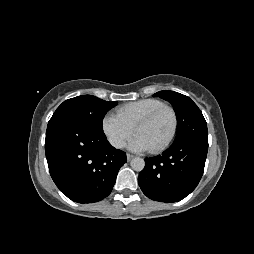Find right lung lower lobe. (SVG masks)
Segmentation results:
<instances>
[{"instance_id": "right-lung-lower-lobe-1", "label": "right lung lower lobe", "mask_w": 254, "mask_h": 254, "mask_svg": "<svg viewBox=\"0 0 254 254\" xmlns=\"http://www.w3.org/2000/svg\"><path fill=\"white\" fill-rule=\"evenodd\" d=\"M45 153L53 181L78 203L108 196L127 161L125 152L115 149L103 130L67 118L48 123Z\"/></svg>"}]
</instances>
